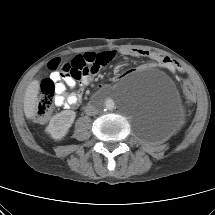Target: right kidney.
I'll list each match as a JSON object with an SVG mask.
<instances>
[{
  "label": "right kidney",
  "instance_id": "obj_1",
  "mask_svg": "<svg viewBox=\"0 0 215 215\" xmlns=\"http://www.w3.org/2000/svg\"><path fill=\"white\" fill-rule=\"evenodd\" d=\"M76 113L71 110L62 111L52 117L46 132L55 140H60L66 136L72 126Z\"/></svg>",
  "mask_w": 215,
  "mask_h": 215
}]
</instances>
